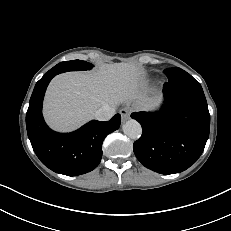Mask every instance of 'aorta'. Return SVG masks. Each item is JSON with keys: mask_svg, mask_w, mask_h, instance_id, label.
Listing matches in <instances>:
<instances>
[{"mask_svg": "<svg viewBox=\"0 0 231 231\" xmlns=\"http://www.w3.org/2000/svg\"><path fill=\"white\" fill-rule=\"evenodd\" d=\"M124 134L131 139H138L142 135L140 123L134 119L128 120L122 127Z\"/></svg>", "mask_w": 231, "mask_h": 231, "instance_id": "obj_1", "label": "aorta"}]
</instances>
